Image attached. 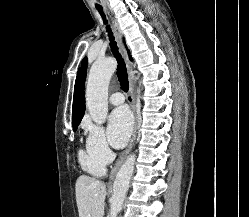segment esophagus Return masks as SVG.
I'll list each match as a JSON object with an SVG mask.
<instances>
[{"label": "esophagus", "mask_w": 249, "mask_h": 217, "mask_svg": "<svg viewBox=\"0 0 249 217\" xmlns=\"http://www.w3.org/2000/svg\"><path fill=\"white\" fill-rule=\"evenodd\" d=\"M111 21H112L113 30H114V34H115V38L117 41L119 51L125 60L126 67H127L128 71H130L132 69V63H131L129 56L127 54V51L123 45L121 30H120L119 25L115 19L111 18ZM127 102L129 103V105L132 109V112H133V119H134L133 133H132V136H131V139H130V142H129L127 148L122 153L121 157L119 158V160L115 164V166L110 174L109 183H111L113 181L117 170L119 169V167L121 166V164L123 163V161L125 160L127 155L130 153V151L133 147L135 138H136L137 113H136V105H135V97H134V86H133V81L131 78H129V92H128V96H127Z\"/></svg>", "instance_id": "34e87169"}]
</instances>
